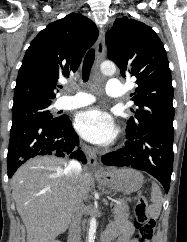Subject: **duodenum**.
Listing matches in <instances>:
<instances>
[{
	"label": "duodenum",
	"mask_w": 187,
	"mask_h": 242,
	"mask_svg": "<svg viewBox=\"0 0 187 242\" xmlns=\"http://www.w3.org/2000/svg\"><path fill=\"white\" fill-rule=\"evenodd\" d=\"M111 240H112V237L106 233H104L101 238V242H111Z\"/></svg>",
	"instance_id": "duodenum-1"
}]
</instances>
